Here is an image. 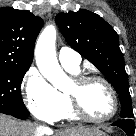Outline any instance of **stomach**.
<instances>
[{
    "label": "stomach",
    "mask_w": 136,
    "mask_h": 136,
    "mask_svg": "<svg viewBox=\"0 0 136 136\" xmlns=\"http://www.w3.org/2000/svg\"><path fill=\"white\" fill-rule=\"evenodd\" d=\"M103 131H98L97 133L91 135V136H107L104 132L102 133Z\"/></svg>",
    "instance_id": "0dacf381"
}]
</instances>
